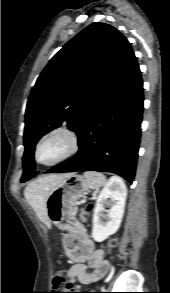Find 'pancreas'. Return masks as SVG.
<instances>
[{"instance_id": "1", "label": "pancreas", "mask_w": 170, "mask_h": 293, "mask_svg": "<svg viewBox=\"0 0 170 293\" xmlns=\"http://www.w3.org/2000/svg\"><path fill=\"white\" fill-rule=\"evenodd\" d=\"M80 220H81L82 222H86V217H85V214H84V213H81V214H80Z\"/></svg>"}]
</instances>
